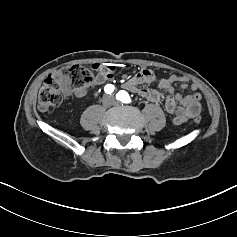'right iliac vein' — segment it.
Segmentation results:
<instances>
[{"label": "right iliac vein", "instance_id": "obj_1", "mask_svg": "<svg viewBox=\"0 0 237 237\" xmlns=\"http://www.w3.org/2000/svg\"><path fill=\"white\" fill-rule=\"evenodd\" d=\"M113 104V97L112 96H105L103 98V105L104 106H111Z\"/></svg>", "mask_w": 237, "mask_h": 237}]
</instances>
